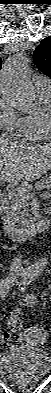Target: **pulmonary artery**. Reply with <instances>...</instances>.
<instances>
[{
    "label": "pulmonary artery",
    "instance_id": "pulmonary-artery-1",
    "mask_svg": "<svg viewBox=\"0 0 51 393\" xmlns=\"http://www.w3.org/2000/svg\"><path fill=\"white\" fill-rule=\"evenodd\" d=\"M34 83L36 86V90L50 91L51 90V82L49 79L44 76H35Z\"/></svg>",
    "mask_w": 51,
    "mask_h": 393
}]
</instances>
